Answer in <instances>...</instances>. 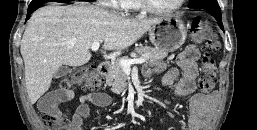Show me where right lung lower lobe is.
Instances as JSON below:
<instances>
[{
  "mask_svg": "<svg viewBox=\"0 0 257 130\" xmlns=\"http://www.w3.org/2000/svg\"><path fill=\"white\" fill-rule=\"evenodd\" d=\"M33 12V11H32ZM32 12H30V11H28V15L30 14V13H32ZM29 18V16H27V19Z\"/></svg>",
  "mask_w": 257,
  "mask_h": 130,
  "instance_id": "right-lung-lower-lobe-1",
  "label": "right lung lower lobe"
}]
</instances>
